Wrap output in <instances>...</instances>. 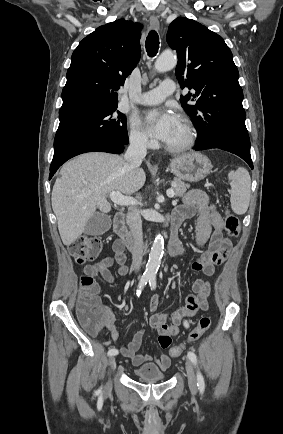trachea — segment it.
<instances>
[{"label":"trachea","mask_w":283,"mask_h":434,"mask_svg":"<svg viewBox=\"0 0 283 434\" xmlns=\"http://www.w3.org/2000/svg\"><path fill=\"white\" fill-rule=\"evenodd\" d=\"M159 36L155 30H151L146 38L145 47L148 55L154 57L159 49Z\"/></svg>","instance_id":"1"}]
</instances>
